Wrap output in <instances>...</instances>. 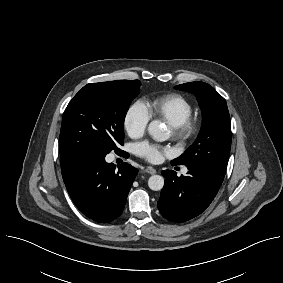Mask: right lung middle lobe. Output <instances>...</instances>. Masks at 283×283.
I'll return each instance as SVG.
<instances>
[{
  "label": "right lung middle lobe",
  "instance_id": "dd1d6c3e",
  "mask_svg": "<svg viewBox=\"0 0 283 283\" xmlns=\"http://www.w3.org/2000/svg\"><path fill=\"white\" fill-rule=\"evenodd\" d=\"M139 80H118L84 86L66 107L59 138L61 161L86 152L120 151L124 119L139 94Z\"/></svg>",
  "mask_w": 283,
  "mask_h": 283
}]
</instances>
